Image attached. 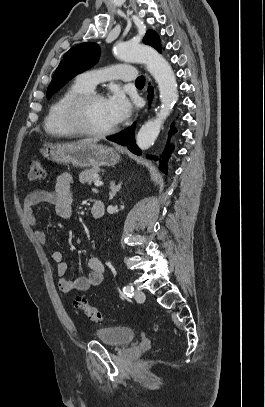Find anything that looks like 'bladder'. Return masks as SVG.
Returning <instances> with one entry per match:
<instances>
[{"instance_id":"1","label":"bladder","mask_w":265,"mask_h":407,"mask_svg":"<svg viewBox=\"0 0 265 407\" xmlns=\"http://www.w3.org/2000/svg\"><path fill=\"white\" fill-rule=\"evenodd\" d=\"M95 335L101 342L114 347L127 346L137 337L135 330L124 326L100 328L95 331Z\"/></svg>"}]
</instances>
